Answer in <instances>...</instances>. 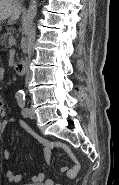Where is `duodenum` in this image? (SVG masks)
I'll use <instances>...</instances> for the list:
<instances>
[{
    "mask_svg": "<svg viewBox=\"0 0 119 185\" xmlns=\"http://www.w3.org/2000/svg\"><path fill=\"white\" fill-rule=\"evenodd\" d=\"M16 73L20 76H23L27 72V62L25 60H20L15 65Z\"/></svg>",
    "mask_w": 119,
    "mask_h": 185,
    "instance_id": "duodenum-1",
    "label": "duodenum"
}]
</instances>
